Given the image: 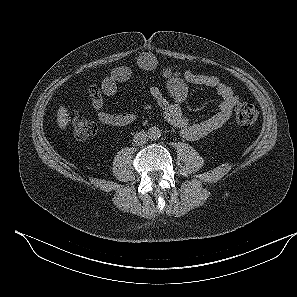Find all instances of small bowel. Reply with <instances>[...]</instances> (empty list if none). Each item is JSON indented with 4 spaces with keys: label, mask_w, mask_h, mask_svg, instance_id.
<instances>
[{
    "label": "small bowel",
    "mask_w": 297,
    "mask_h": 297,
    "mask_svg": "<svg viewBox=\"0 0 297 297\" xmlns=\"http://www.w3.org/2000/svg\"><path fill=\"white\" fill-rule=\"evenodd\" d=\"M138 67L147 72L159 69L157 57L149 52L141 53L137 58ZM134 75L132 68L119 66L114 68L106 76L100 86L90 87L92 106L96 111L98 120L107 126L123 127L136 121L137 115L133 112L109 113L104 111V96H112L118 90V85L129 81ZM161 75L165 81L166 89L171 97L168 101L160 88H150V95L163 112L166 121L178 129L180 135L188 141L202 139L222 127L233 114V110L239 103V98L233 89L223 83L218 77L199 74L191 70H180L175 66L166 65L161 69ZM191 85H201L212 88L220 97L218 111L199 123L191 124L185 117L182 105L188 97Z\"/></svg>",
    "instance_id": "small-bowel-1"
}]
</instances>
